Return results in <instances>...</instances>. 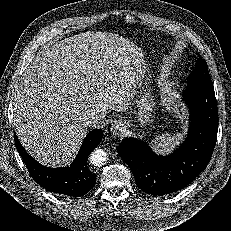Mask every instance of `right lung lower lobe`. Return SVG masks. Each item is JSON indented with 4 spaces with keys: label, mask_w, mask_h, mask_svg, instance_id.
I'll use <instances>...</instances> for the list:
<instances>
[{
    "label": "right lung lower lobe",
    "mask_w": 231,
    "mask_h": 231,
    "mask_svg": "<svg viewBox=\"0 0 231 231\" xmlns=\"http://www.w3.org/2000/svg\"><path fill=\"white\" fill-rule=\"evenodd\" d=\"M103 132L101 129L90 131L85 137L76 159L69 167L49 168L35 161L22 147L17 135L14 141L30 175L37 184L51 192L73 197H80L93 188L96 174L87 167L89 154L101 142Z\"/></svg>",
    "instance_id": "98d812e1"
}]
</instances>
